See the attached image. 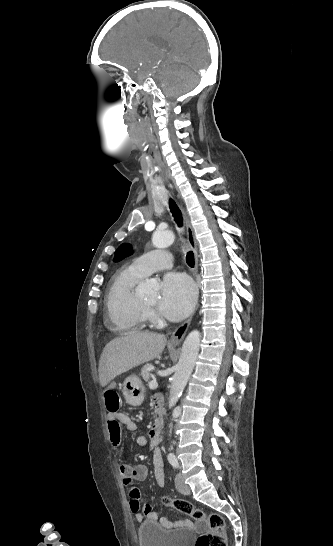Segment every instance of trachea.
Masks as SVG:
<instances>
[{"mask_svg":"<svg viewBox=\"0 0 333 546\" xmlns=\"http://www.w3.org/2000/svg\"><path fill=\"white\" fill-rule=\"evenodd\" d=\"M169 208L178 226L181 227L183 225L182 214L173 199H170L169 201ZM186 262L191 268L194 267L195 262H194V254L192 251L187 252Z\"/></svg>","mask_w":333,"mask_h":546,"instance_id":"1","label":"trachea"}]
</instances>
